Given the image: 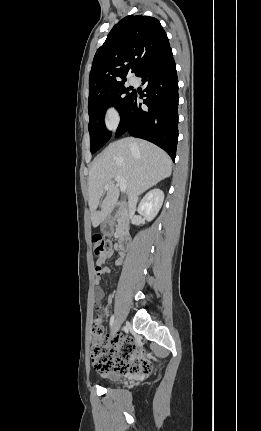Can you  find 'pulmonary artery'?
<instances>
[{
	"instance_id": "e3ab8cb5",
	"label": "pulmonary artery",
	"mask_w": 261,
	"mask_h": 431,
	"mask_svg": "<svg viewBox=\"0 0 261 431\" xmlns=\"http://www.w3.org/2000/svg\"><path fill=\"white\" fill-rule=\"evenodd\" d=\"M131 83H134V81H133V80H131Z\"/></svg>"
}]
</instances>
